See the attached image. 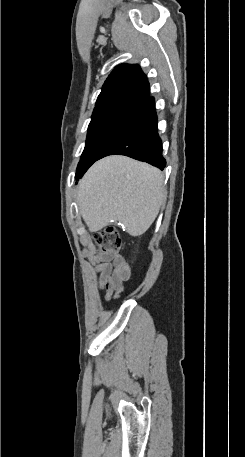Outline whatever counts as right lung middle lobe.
<instances>
[{"label": "right lung middle lobe", "mask_w": 245, "mask_h": 457, "mask_svg": "<svg viewBox=\"0 0 245 457\" xmlns=\"http://www.w3.org/2000/svg\"><path fill=\"white\" fill-rule=\"evenodd\" d=\"M129 111L93 113L75 178L80 179L120 128Z\"/></svg>", "instance_id": "obj_1"}]
</instances>
